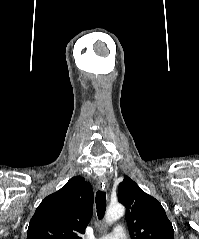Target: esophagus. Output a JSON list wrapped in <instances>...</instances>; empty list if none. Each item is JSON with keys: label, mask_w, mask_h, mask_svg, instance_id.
I'll list each match as a JSON object with an SVG mask.
<instances>
[{"label": "esophagus", "mask_w": 199, "mask_h": 239, "mask_svg": "<svg viewBox=\"0 0 199 239\" xmlns=\"http://www.w3.org/2000/svg\"><path fill=\"white\" fill-rule=\"evenodd\" d=\"M98 186L102 190H105L106 188H108V180H107V178L106 177L101 178L99 180V182H98Z\"/></svg>", "instance_id": "esophagus-1"}]
</instances>
